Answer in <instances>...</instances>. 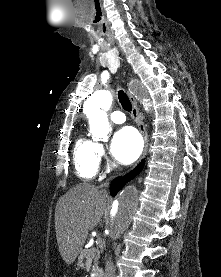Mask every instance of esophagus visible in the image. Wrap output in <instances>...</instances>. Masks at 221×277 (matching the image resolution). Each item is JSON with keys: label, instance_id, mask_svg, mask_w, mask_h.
<instances>
[{"label": "esophagus", "instance_id": "34e87169", "mask_svg": "<svg viewBox=\"0 0 221 277\" xmlns=\"http://www.w3.org/2000/svg\"><path fill=\"white\" fill-rule=\"evenodd\" d=\"M128 95H129L130 101L132 103V116L135 119V122L139 128V131L144 139L145 145H144V151H143V155H142V158H143L146 155L147 149H148V134H147L146 126L143 121V117L139 112L137 100H136L134 94L131 91H128Z\"/></svg>", "mask_w": 221, "mask_h": 277}]
</instances>
